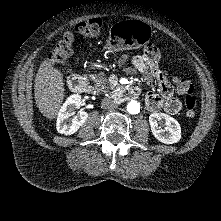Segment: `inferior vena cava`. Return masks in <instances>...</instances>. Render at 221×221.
Instances as JSON below:
<instances>
[{"label": "inferior vena cava", "instance_id": "1", "mask_svg": "<svg viewBox=\"0 0 221 221\" xmlns=\"http://www.w3.org/2000/svg\"><path fill=\"white\" fill-rule=\"evenodd\" d=\"M101 107L103 109L113 110L117 107V104L115 103L114 100H112L110 98H104L102 100Z\"/></svg>", "mask_w": 221, "mask_h": 221}]
</instances>
